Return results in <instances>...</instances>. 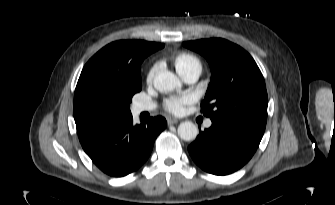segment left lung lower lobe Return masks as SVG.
Returning a JSON list of instances; mask_svg holds the SVG:
<instances>
[{
  "label": "left lung lower lobe",
  "instance_id": "0a47b994",
  "mask_svg": "<svg viewBox=\"0 0 335 205\" xmlns=\"http://www.w3.org/2000/svg\"><path fill=\"white\" fill-rule=\"evenodd\" d=\"M212 126L188 147L193 161L208 173L228 175L244 166L257 150L264 130L227 118H211Z\"/></svg>",
  "mask_w": 335,
  "mask_h": 205
}]
</instances>
